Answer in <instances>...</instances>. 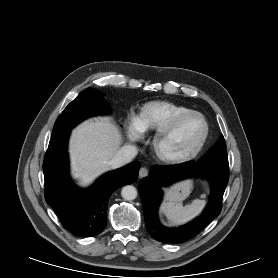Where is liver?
Here are the masks:
<instances>
[{"instance_id":"obj_1","label":"liver","mask_w":278,"mask_h":278,"mask_svg":"<svg viewBox=\"0 0 278 278\" xmlns=\"http://www.w3.org/2000/svg\"><path fill=\"white\" fill-rule=\"evenodd\" d=\"M118 127L107 118L84 121L70 139L71 170L78 184L87 187L111 169L110 161L120 149Z\"/></svg>"}]
</instances>
